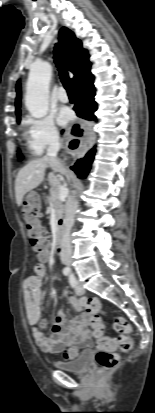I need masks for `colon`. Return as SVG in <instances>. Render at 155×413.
Instances as JSON below:
<instances>
[{"label":"colon","instance_id":"obj_1","mask_svg":"<svg viewBox=\"0 0 155 413\" xmlns=\"http://www.w3.org/2000/svg\"><path fill=\"white\" fill-rule=\"evenodd\" d=\"M42 200L41 192H27L23 199V218L27 224L28 235L31 245L38 259H44L49 253V236L41 223V208L39 206ZM88 311L97 319L102 320L104 314L102 303L97 298H89L86 302ZM115 330L120 334L117 346L122 352H129L132 349V339L129 336L131 326L129 322L118 317L114 323ZM97 328L98 325H97ZM98 347L99 351L95 355L96 363L103 370H111L119 363V355L112 352L113 343L110 338L103 336L98 329Z\"/></svg>","mask_w":155,"mask_h":413}]
</instances>
